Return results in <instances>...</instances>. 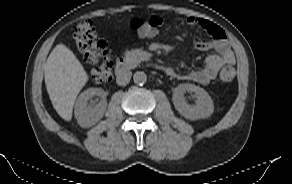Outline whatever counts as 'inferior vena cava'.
Segmentation results:
<instances>
[{
  "label": "inferior vena cava",
  "mask_w": 292,
  "mask_h": 184,
  "mask_svg": "<svg viewBox=\"0 0 292 184\" xmlns=\"http://www.w3.org/2000/svg\"><path fill=\"white\" fill-rule=\"evenodd\" d=\"M132 72L130 70H121L117 72L116 82L118 85L123 86L129 83Z\"/></svg>",
  "instance_id": "inferior-vena-cava-1"
}]
</instances>
